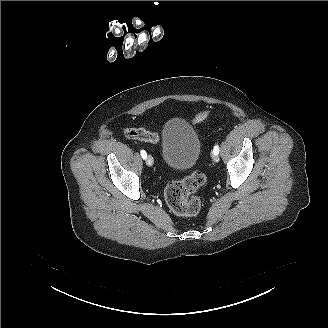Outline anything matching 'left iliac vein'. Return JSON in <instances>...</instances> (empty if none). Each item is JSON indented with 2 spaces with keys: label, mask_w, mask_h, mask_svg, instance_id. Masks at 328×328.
Returning <instances> with one entry per match:
<instances>
[{
  "label": "left iliac vein",
  "mask_w": 328,
  "mask_h": 328,
  "mask_svg": "<svg viewBox=\"0 0 328 328\" xmlns=\"http://www.w3.org/2000/svg\"><path fill=\"white\" fill-rule=\"evenodd\" d=\"M211 157H212V159H213L214 162H218L219 161V157L215 153H212Z\"/></svg>",
  "instance_id": "1"
}]
</instances>
